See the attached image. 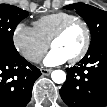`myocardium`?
Instances as JSON below:
<instances>
[{
  "mask_svg": "<svg viewBox=\"0 0 107 107\" xmlns=\"http://www.w3.org/2000/svg\"><path fill=\"white\" fill-rule=\"evenodd\" d=\"M74 24H80L83 26L84 30H85V43L82 47V49L79 51L78 54H76L74 57L68 59L70 63H76L78 61H80L82 58H84V56L87 54L90 45H91V30L90 27L88 25V23L81 19V18H73L71 20H68L67 22H65L64 24H62L57 31L54 33V35L52 36L49 45L50 47H53V44L55 41H57L58 39H60L65 33L66 31L73 26Z\"/></svg>",
  "mask_w": 107,
  "mask_h": 107,
  "instance_id": "1",
  "label": "myocardium"
}]
</instances>
